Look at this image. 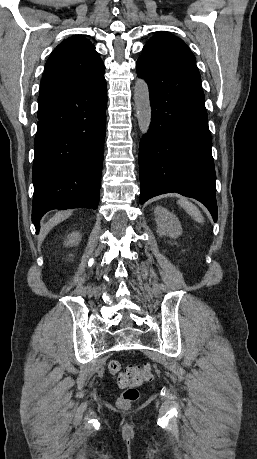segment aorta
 I'll return each instance as SVG.
<instances>
[{
	"mask_svg": "<svg viewBox=\"0 0 257 459\" xmlns=\"http://www.w3.org/2000/svg\"><path fill=\"white\" fill-rule=\"evenodd\" d=\"M134 102L141 134H146L151 123L149 88L144 79H137L134 86Z\"/></svg>",
	"mask_w": 257,
	"mask_h": 459,
	"instance_id": "aorta-1",
	"label": "aorta"
}]
</instances>
